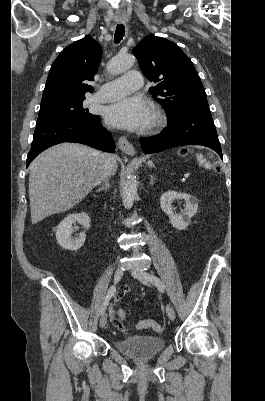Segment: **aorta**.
I'll list each match as a JSON object with an SVG mask.
<instances>
[{
	"mask_svg": "<svg viewBox=\"0 0 265 401\" xmlns=\"http://www.w3.org/2000/svg\"><path fill=\"white\" fill-rule=\"evenodd\" d=\"M134 62L135 58L134 56H132V54H125L123 62H119L118 56H116V58H111V60H108L106 66L108 72H112V74H119V72H123V70L131 68ZM136 196H137V180H135V176L129 174L127 180H125L123 184V190H122L123 207H125V209H131L132 205H134Z\"/></svg>",
	"mask_w": 265,
	"mask_h": 401,
	"instance_id": "aorta-1",
	"label": "aorta"
}]
</instances>
